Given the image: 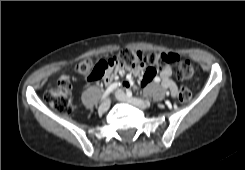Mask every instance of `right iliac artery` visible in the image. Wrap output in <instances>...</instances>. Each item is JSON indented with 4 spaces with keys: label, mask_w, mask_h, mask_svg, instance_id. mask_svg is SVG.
Returning <instances> with one entry per match:
<instances>
[{
    "label": "right iliac artery",
    "mask_w": 245,
    "mask_h": 170,
    "mask_svg": "<svg viewBox=\"0 0 245 170\" xmlns=\"http://www.w3.org/2000/svg\"><path fill=\"white\" fill-rule=\"evenodd\" d=\"M120 86L119 82H115L113 84H111L106 91L103 93L101 100H105L117 87Z\"/></svg>",
    "instance_id": "1"
}]
</instances>
